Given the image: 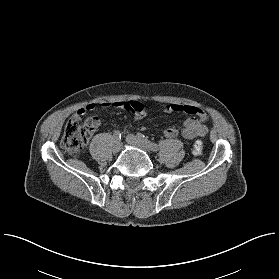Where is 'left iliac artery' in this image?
<instances>
[{"label":"left iliac artery","mask_w":279,"mask_h":279,"mask_svg":"<svg viewBox=\"0 0 279 279\" xmlns=\"http://www.w3.org/2000/svg\"><path fill=\"white\" fill-rule=\"evenodd\" d=\"M138 138L143 142L145 145L148 146V148L152 151H157L158 150V145L154 142H151L150 140L147 139L143 134L138 133L137 134Z\"/></svg>","instance_id":"1"}]
</instances>
